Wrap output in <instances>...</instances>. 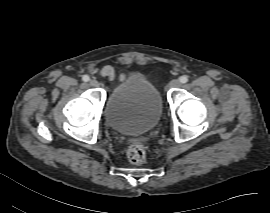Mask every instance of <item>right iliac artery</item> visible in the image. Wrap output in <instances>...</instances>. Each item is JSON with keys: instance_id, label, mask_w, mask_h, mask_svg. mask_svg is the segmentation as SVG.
<instances>
[{"instance_id": "1", "label": "right iliac artery", "mask_w": 270, "mask_h": 213, "mask_svg": "<svg viewBox=\"0 0 270 213\" xmlns=\"http://www.w3.org/2000/svg\"><path fill=\"white\" fill-rule=\"evenodd\" d=\"M82 79H83V81H85V82H88V81L90 80V78H89L88 75H84V76L82 77Z\"/></svg>"}]
</instances>
